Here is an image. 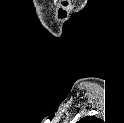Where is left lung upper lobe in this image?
Returning a JSON list of instances; mask_svg holds the SVG:
<instances>
[{"label":"left lung upper lobe","instance_id":"5c2ea615","mask_svg":"<svg viewBox=\"0 0 124 123\" xmlns=\"http://www.w3.org/2000/svg\"><path fill=\"white\" fill-rule=\"evenodd\" d=\"M88 118H90V117H85V118H83V119H88ZM83 119H81L80 121H84Z\"/></svg>","mask_w":124,"mask_h":123}]
</instances>
